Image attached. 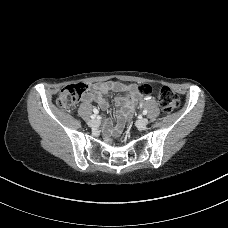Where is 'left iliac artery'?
<instances>
[{
  "label": "left iliac artery",
  "mask_w": 228,
  "mask_h": 228,
  "mask_svg": "<svg viewBox=\"0 0 228 228\" xmlns=\"http://www.w3.org/2000/svg\"><path fill=\"white\" fill-rule=\"evenodd\" d=\"M147 114V110H143V115H146Z\"/></svg>",
  "instance_id": "44dca946"
}]
</instances>
